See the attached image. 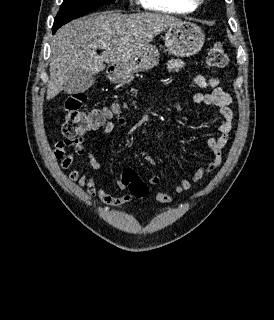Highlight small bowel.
Segmentation results:
<instances>
[{
    "mask_svg": "<svg viewBox=\"0 0 274 320\" xmlns=\"http://www.w3.org/2000/svg\"><path fill=\"white\" fill-rule=\"evenodd\" d=\"M183 67V62L180 59H172L168 63L170 72H179ZM193 81L196 86L202 89H210L205 93H196L193 96V101L196 104H211L220 109L223 117L222 120L217 122V130L220 133L218 137H209L207 144L212 152V158L207 165L199 166L189 179H180L179 182L169 191H161L156 194V200L159 203H170L176 196L183 194L192 188L194 184L200 182L206 175L218 169L223 162V150L227 145L230 133L233 127V112L230 107L232 99L220 86V78H206L203 75H195ZM117 111V109L115 108ZM128 123L127 119L123 116L117 115L114 120L96 119L94 121V129L102 134H111L116 127H124ZM102 126V127H101ZM86 139L84 137H77L72 140H61L55 144V149L52 156L55 160L60 161V167L67 170L71 167L75 156H84L87 153L88 165L91 170L98 171L101 169L102 164L96 155L87 151L85 148ZM68 147H73V152H67ZM141 157L147 161L151 166L156 167L155 160L147 152H140ZM69 180L77 183L80 187L85 188L87 195L90 199H99L102 203L108 206H120L131 201V196L121 195L116 196L108 193L103 187L97 185L95 178L87 173H82L79 169H73L69 173ZM148 183L152 186L158 187L161 179L158 175H152L148 179ZM116 186L120 190H124L126 186L118 180Z\"/></svg>",
    "mask_w": 274,
    "mask_h": 320,
    "instance_id": "1",
    "label": "small bowel"
}]
</instances>
